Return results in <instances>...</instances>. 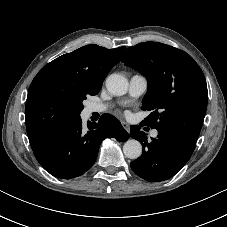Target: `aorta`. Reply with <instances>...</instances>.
Returning <instances> with one entry per match:
<instances>
[{
	"instance_id": "aorta-1",
	"label": "aorta",
	"mask_w": 227,
	"mask_h": 227,
	"mask_svg": "<svg viewBox=\"0 0 227 227\" xmlns=\"http://www.w3.org/2000/svg\"><path fill=\"white\" fill-rule=\"evenodd\" d=\"M107 90L115 95L122 96L127 93L128 81L125 77L119 74H111L106 79ZM124 155L129 159H137L142 153V145L135 139H129L123 146Z\"/></svg>"
}]
</instances>
